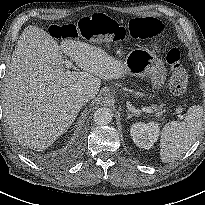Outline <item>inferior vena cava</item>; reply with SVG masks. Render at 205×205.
Listing matches in <instances>:
<instances>
[{
	"instance_id": "inferior-vena-cava-1",
	"label": "inferior vena cava",
	"mask_w": 205,
	"mask_h": 205,
	"mask_svg": "<svg viewBox=\"0 0 205 205\" xmlns=\"http://www.w3.org/2000/svg\"><path fill=\"white\" fill-rule=\"evenodd\" d=\"M91 99V96L87 93H78L75 96V101L78 105L83 106L86 102H88Z\"/></svg>"
}]
</instances>
